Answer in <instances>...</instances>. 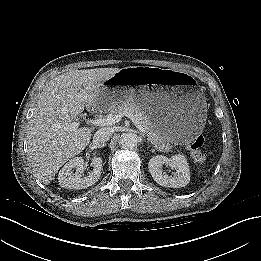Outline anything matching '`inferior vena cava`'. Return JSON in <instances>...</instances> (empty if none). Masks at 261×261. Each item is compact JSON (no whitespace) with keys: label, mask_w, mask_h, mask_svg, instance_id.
Masks as SVG:
<instances>
[{"label":"inferior vena cava","mask_w":261,"mask_h":261,"mask_svg":"<svg viewBox=\"0 0 261 261\" xmlns=\"http://www.w3.org/2000/svg\"><path fill=\"white\" fill-rule=\"evenodd\" d=\"M112 136V130L110 128H101L94 134V141L98 143L107 142Z\"/></svg>","instance_id":"602c4592"}]
</instances>
